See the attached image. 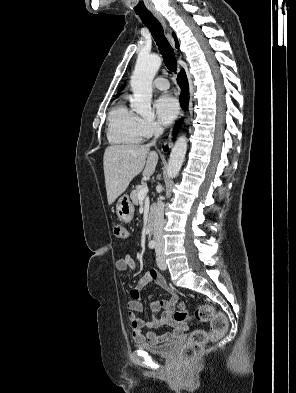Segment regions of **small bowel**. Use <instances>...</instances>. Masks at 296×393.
I'll list each match as a JSON object with an SVG mask.
<instances>
[{
  "label": "small bowel",
  "mask_w": 296,
  "mask_h": 393,
  "mask_svg": "<svg viewBox=\"0 0 296 393\" xmlns=\"http://www.w3.org/2000/svg\"><path fill=\"white\" fill-rule=\"evenodd\" d=\"M134 266V259L130 253H126L115 264L117 271L120 273L128 272L134 269ZM152 281L164 289L173 291L165 277L160 272L154 269L150 270L130 290L127 308L128 318L131 326V334L134 341L137 343L148 342L150 344L157 345L173 340L180 336L188 329V325L186 323L175 322L171 317L178 301L177 295H173L169 299L151 300L150 308L152 318L148 321H145L141 318L140 314L143 311V305L141 303V290L147 283ZM161 308L164 309V312L160 314L159 312ZM163 325H169L173 327V330L163 334H158L153 331H144L145 328L155 329Z\"/></svg>",
  "instance_id": "c3829d8e"
}]
</instances>
